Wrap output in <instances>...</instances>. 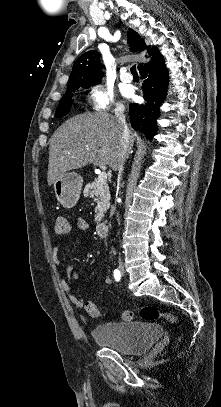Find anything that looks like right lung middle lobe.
Here are the masks:
<instances>
[{
  "mask_svg": "<svg viewBox=\"0 0 221 407\" xmlns=\"http://www.w3.org/2000/svg\"><path fill=\"white\" fill-rule=\"evenodd\" d=\"M77 89L66 91L65 95L62 97L59 105L57 107L55 117H62L69 113L72 103H73V92Z\"/></svg>",
  "mask_w": 221,
  "mask_h": 407,
  "instance_id": "1",
  "label": "right lung middle lobe"
}]
</instances>
